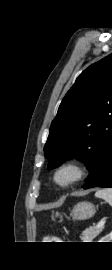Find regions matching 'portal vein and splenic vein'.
<instances>
[{"label":"portal vein and splenic vein","instance_id":"18ae733b","mask_svg":"<svg viewBox=\"0 0 112 270\" xmlns=\"http://www.w3.org/2000/svg\"><path fill=\"white\" fill-rule=\"evenodd\" d=\"M105 222H106V220H105V219H103V220L99 221L96 227H97V228H99V227L104 226V225H105Z\"/></svg>","mask_w":112,"mask_h":270}]
</instances>
